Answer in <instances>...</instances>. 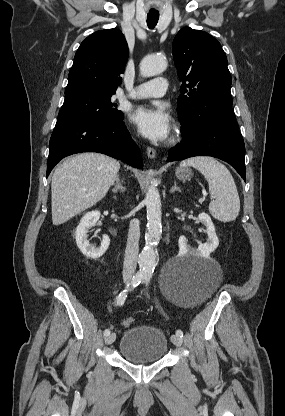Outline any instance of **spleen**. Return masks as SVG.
<instances>
[{"label": "spleen", "mask_w": 285, "mask_h": 416, "mask_svg": "<svg viewBox=\"0 0 285 416\" xmlns=\"http://www.w3.org/2000/svg\"><path fill=\"white\" fill-rule=\"evenodd\" d=\"M181 168L192 166L203 174L209 184V192L215 200L209 204V212L219 222H233L240 212V200L236 184L226 166L208 158L197 156L180 162Z\"/></svg>", "instance_id": "3e777b00"}]
</instances>
